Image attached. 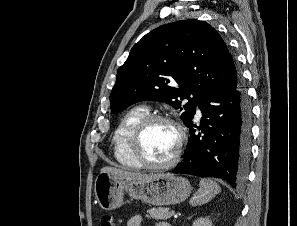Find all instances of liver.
<instances>
[{"label": "liver", "instance_id": "1", "mask_svg": "<svg viewBox=\"0 0 297 226\" xmlns=\"http://www.w3.org/2000/svg\"><path fill=\"white\" fill-rule=\"evenodd\" d=\"M101 172H106L112 174L118 179L128 180V181H138L147 180L159 176L160 174H144L138 172H129L114 167H103Z\"/></svg>", "mask_w": 297, "mask_h": 226}]
</instances>
